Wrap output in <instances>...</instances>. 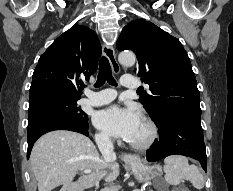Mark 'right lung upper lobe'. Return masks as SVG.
I'll list each match as a JSON object with an SVG mask.
<instances>
[{
	"instance_id": "obj_1",
	"label": "right lung upper lobe",
	"mask_w": 233,
	"mask_h": 191,
	"mask_svg": "<svg viewBox=\"0 0 233 191\" xmlns=\"http://www.w3.org/2000/svg\"><path fill=\"white\" fill-rule=\"evenodd\" d=\"M101 45L88 27L74 25L41 55L33 73L29 99L43 93L80 98L78 85L98 66Z\"/></svg>"
}]
</instances>
